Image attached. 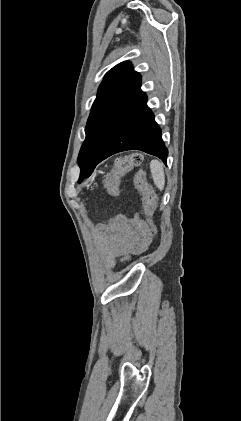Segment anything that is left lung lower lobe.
<instances>
[{
	"mask_svg": "<svg viewBox=\"0 0 241 421\" xmlns=\"http://www.w3.org/2000/svg\"><path fill=\"white\" fill-rule=\"evenodd\" d=\"M140 86L141 82L119 117L99 158L81 169L79 182L89 177L98 163L126 150H141L159 157L166 164L168 150L161 138V129L146 104L147 96Z\"/></svg>",
	"mask_w": 241,
	"mask_h": 421,
	"instance_id": "1",
	"label": "left lung lower lobe"
}]
</instances>
